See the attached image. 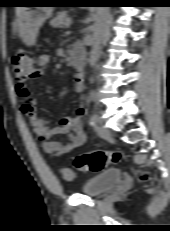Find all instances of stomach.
I'll return each mask as SVG.
<instances>
[{
  "label": "stomach",
  "mask_w": 170,
  "mask_h": 231,
  "mask_svg": "<svg viewBox=\"0 0 170 231\" xmlns=\"http://www.w3.org/2000/svg\"><path fill=\"white\" fill-rule=\"evenodd\" d=\"M32 3H47V1L35 0ZM53 7H23L17 16L15 33L26 45H33L39 33L40 27L52 15Z\"/></svg>",
  "instance_id": "0dacf381"
}]
</instances>
